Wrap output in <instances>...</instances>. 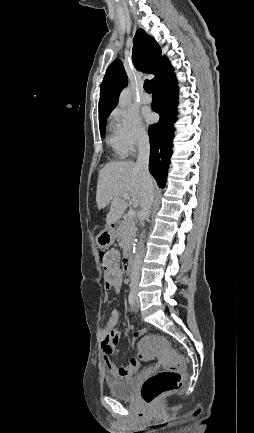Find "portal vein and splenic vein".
Returning <instances> with one entry per match:
<instances>
[{
  "instance_id": "1",
  "label": "portal vein and splenic vein",
  "mask_w": 254,
  "mask_h": 433,
  "mask_svg": "<svg viewBox=\"0 0 254 433\" xmlns=\"http://www.w3.org/2000/svg\"><path fill=\"white\" fill-rule=\"evenodd\" d=\"M122 196H123V198L125 200H130V196L128 194H123ZM135 216H136V211L135 210L131 209V210L128 211L127 217L129 219H133Z\"/></svg>"
}]
</instances>
